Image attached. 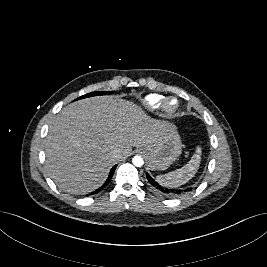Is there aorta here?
I'll list each match as a JSON object with an SVG mask.
<instances>
[{"instance_id":"obj_1","label":"aorta","mask_w":267,"mask_h":267,"mask_svg":"<svg viewBox=\"0 0 267 267\" xmlns=\"http://www.w3.org/2000/svg\"><path fill=\"white\" fill-rule=\"evenodd\" d=\"M132 163H133V165L136 166V167H141V166H143V164H144V160H143V158L140 157V156H135V157H133V159H132Z\"/></svg>"}]
</instances>
